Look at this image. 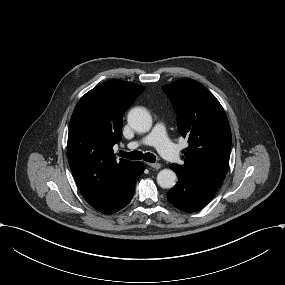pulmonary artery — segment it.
<instances>
[{
  "label": "pulmonary artery",
  "mask_w": 285,
  "mask_h": 285,
  "mask_svg": "<svg viewBox=\"0 0 285 285\" xmlns=\"http://www.w3.org/2000/svg\"><path fill=\"white\" fill-rule=\"evenodd\" d=\"M141 144L155 146L160 154L168 159L172 158V155L167 150L168 148H171L176 156L181 150V147L179 145L172 144L168 141L166 127L162 122H158L150 133H148L139 141L131 142L128 147L130 149H135Z\"/></svg>",
  "instance_id": "e3ab8cb5"
}]
</instances>
